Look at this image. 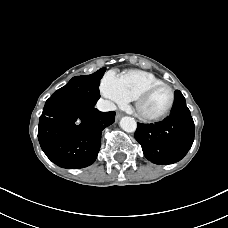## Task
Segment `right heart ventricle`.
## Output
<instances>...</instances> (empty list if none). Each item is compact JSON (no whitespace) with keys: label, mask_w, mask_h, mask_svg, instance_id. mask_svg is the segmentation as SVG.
I'll return each instance as SVG.
<instances>
[{"label":"right heart ventricle","mask_w":228,"mask_h":228,"mask_svg":"<svg viewBox=\"0 0 228 228\" xmlns=\"http://www.w3.org/2000/svg\"><path fill=\"white\" fill-rule=\"evenodd\" d=\"M117 80L120 89L129 100L134 99V97L146 86L162 82V80L153 73L138 69L120 73L117 76Z\"/></svg>","instance_id":"e07e8e85"}]
</instances>
